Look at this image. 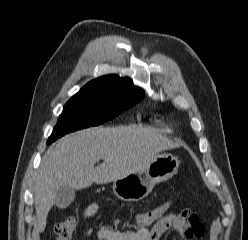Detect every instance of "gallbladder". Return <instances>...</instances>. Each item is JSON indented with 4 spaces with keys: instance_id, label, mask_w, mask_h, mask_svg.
Returning a JSON list of instances; mask_svg holds the SVG:
<instances>
[{
    "instance_id": "obj_1",
    "label": "gallbladder",
    "mask_w": 248,
    "mask_h": 240,
    "mask_svg": "<svg viewBox=\"0 0 248 240\" xmlns=\"http://www.w3.org/2000/svg\"><path fill=\"white\" fill-rule=\"evenodd\" d=\"M75 198V189L69 186H61L56 190V206L59 209L67 208Z\"/></svg>"
}]
</instances>
